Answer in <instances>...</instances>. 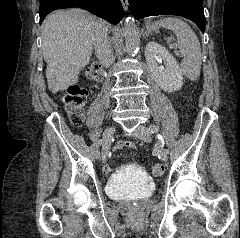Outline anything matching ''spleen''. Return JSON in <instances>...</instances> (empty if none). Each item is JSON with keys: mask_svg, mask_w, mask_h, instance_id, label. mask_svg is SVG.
I'll use <instances>...</instances> for the list:
<instances>
[{"mask_svg": "<svg viewBox=\"0 0 240 238\" xmlns=\"http://www.w3.org/2000/svg\"><path fill=\"white\" fill-rule=\"evenodd\" d=\"M157 24L174 32L178 48L184 57L181 62V70L188 79L196 80L200 76L202 61L200 42L194 31L187 23L178 18H164Z\"/></svg>", "mask_w": 240, "mask_h": 238, "instance_id": "spleen-1", "label": "spleen"}]
</instances>
